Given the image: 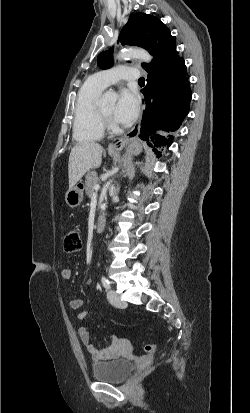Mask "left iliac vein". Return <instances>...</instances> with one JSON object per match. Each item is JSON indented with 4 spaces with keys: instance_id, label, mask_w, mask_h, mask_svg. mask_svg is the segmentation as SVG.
<instances>
[{
    "instance_id": "4c4485c4",
    "label": "left iliac vein",
    "mask_w": 250,
    "mask_h": 413,
    "mask_svg": "<svg viewBox=\"0 0 250 413\" xmlns=\"http://www.w3.org/2000/svg\"><path fill=\"white\" fill-rule=\"evenodd\" d=\"M107 297L109 302L117 308H125L127 305L126 302L121 300L120 296L114 290H109Z\"/></svg>"
}]
</instances>
